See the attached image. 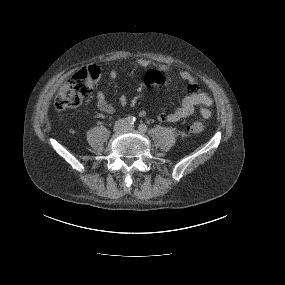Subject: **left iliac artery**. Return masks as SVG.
Here are the masks:
<instances>
[{
	"instance_id": "44dca946",
	"label": "left iliac artery",
	"mask_w": 285,
	"mask_h": 285,
	"mask_svg": "<svg viewBox=\"0 0 285 285\" xmlns=\"http://www.w3.org/2000/svg\"><path fill=\"white\" fill-rule=\"evenodd\" d=\"M138 129L141 131V132H146L147 131V126L145 124H140Z\"/></svg>"
}]
</instances>
